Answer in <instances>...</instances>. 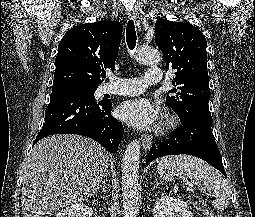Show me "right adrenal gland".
Wrapping results in <instances>:
<instances>
[{
	"label": "right adrenal gland",
	"mask_w": 255,
	"mask_h": 217,
	"mask_svg": "<svg viewBox=\"0 0 255 217\" xmlns=\"http://www.w3.org/2000/svg\"><path fill=\"white\" fill-rule=\"evenodd\" d=\"M99 188H102L106 192V176L102 179V184Z\"/></svg>",
	"instance_id": "obj_1"
}]
</instances>
